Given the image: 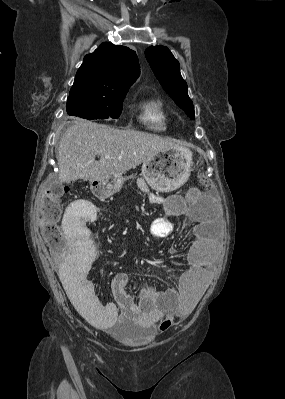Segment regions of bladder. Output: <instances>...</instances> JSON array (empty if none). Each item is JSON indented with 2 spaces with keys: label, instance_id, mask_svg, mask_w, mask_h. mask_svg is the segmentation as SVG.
<instances>
[{
  "label": "bladder",
  "instance_id": "bladder-1",
  "mask_svg": "<svg viewBox=\"0 0 285 399\" xmlns=\"http://www.w3.org/2000/svg\"><path fill=\"white\" fill-rule=\"evenodd\" d=\"M146 336L147 334L144 332H137L131 333V337L129 338H122L117 336L123 342L127 343L128 345L135 346V347H144L146 346Z\"/></svg>",
  "mask_w": 285,
  "mask_h": 399
}]
</instances>
